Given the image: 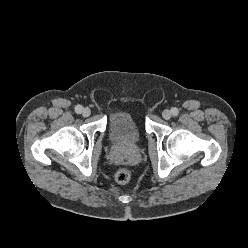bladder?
<instances>
[{"label": "bladder", "instance_id": "31cf9c89", "mask_svg": "<svg viewBox=\"0 0 248 248\" xmlns=\"http://www.w3.org/2000/svg\"><path fill=\"white\" fill-rule=\"evenodd\" d=\"M108 136L120 149L133 148L141 141L142 134L132 115L126 111L113 113L109 118Z\"/></svg>", "mask_w": 248, "mask_h": 248}]
</instances>
